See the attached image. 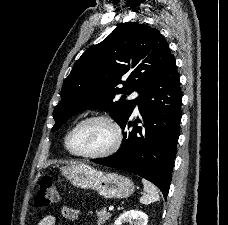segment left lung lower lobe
<instances>
[{
  "label": "left lung lower lobe",
  "instance_id": "left-lung-lower-lobe-1",
  "mask_svg": "<svg viewBox=\"0 0 228 225\" xmlns=\"http://www.w3.org/2000/svg\"><path fill=\"white\" fill-rule=\"evenodd\" d=\"M181 101L179 75L172 56L154 81L140 93L126 120L120 125L123 130L132 126L129 117L138 104L143 127L134 123L132 130L123 132L122 146L115 154L92 161L129 171L151 181L166 199L179 138Z\"/></svg>",
  "mask_w": 228,
  "mask_h": 225
}]
</instances>
